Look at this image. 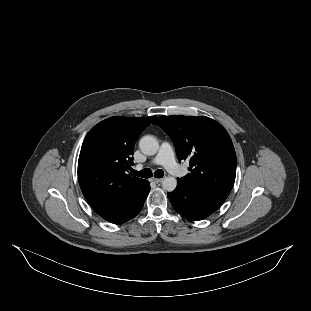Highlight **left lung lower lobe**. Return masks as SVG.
I'll use <instances>...</instances> for the list:
<instances>
[{
	"instance_id": "obj_1",
	"label": "left lung lower lobe",
	"mask_w": 311,
	"mask_h": 311,
	"mask_svg": "<svg viewBox=\"0 0 311 311\" xmlns=\"http://www.w3.org/2000/svg\"><path fill=\"white\" fill-rule=\"evenodd\" d=\"M168 198L182 216L191 220H202L215 212L227 196L178 182L176 189L168 193Z\"/></svg>"
}]
</instances>
